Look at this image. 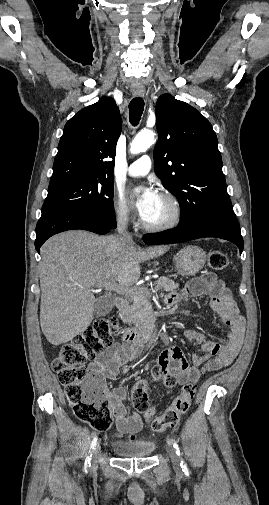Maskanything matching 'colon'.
<instances>
[{
	"label": "colon",
	"mask_w": 269,
	"mask_h": 505,
	"mask_svg": "<svg viewBox=\"0 0 269 505\" xmlns=\"http://www.w3.org/2000/svg\"><path fill=\"white\" fill-rule=\"evenodd\" d=\"M208 263L211 269L221 271L227 268L229 260L224 252L213 250L209 253ZM115 325V318L96 321L72 341L64 344L52 362V369L65 387L67 400L74 413L98 431H106L111 427L112 416L106 401L104 380L99 375L88 372L85 364L112 345ZM153 377L155 378L154 375ZM156 379H161L167 388L176 385L175 380L169 376ZM146 386V380L137 384L133 391V404L137 411L143 413L151 430L157 433L178 425L196 394V385L186 383L172 404L161 415L154 417Z\"/></svg>",
	"instance_id": "obj_1"
}]
</instances>
